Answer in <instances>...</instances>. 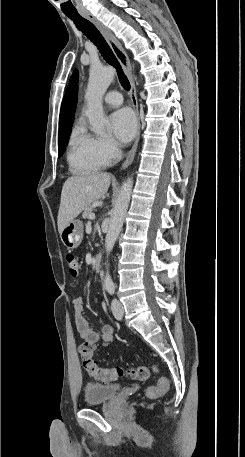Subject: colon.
Wrapping results in <instances>:
<instances>
[{"mask_svg":"<svg viewBox=\"0 0 245 457\" xmlns=\"http://www.w3.org/2000/svg\"><path fill=\"white\" fill-rule=\"evenodd\" d=\"M66 262L68 265L69 273L72 277H77L80 273V266L76 256L72 253L66 255ZM95 346L90 342H83L78 347V354L81 362V367L83 371L89 376L103 381V382H113L118 380L123 376H131L140 381L148 380L150 376V369L145 366L138 367H112V368H103L100 367L94 359ZM153 370L157 371L156 366H152ZM169 387V381L167 378L161 377L158 380L157 386L148 387L146 394L149 397L158 396L167 391Z\"/></svg>","mask_w":245,"mask_h":457,"instance_id":"obj_1","label":"colon"}]
</instances>
